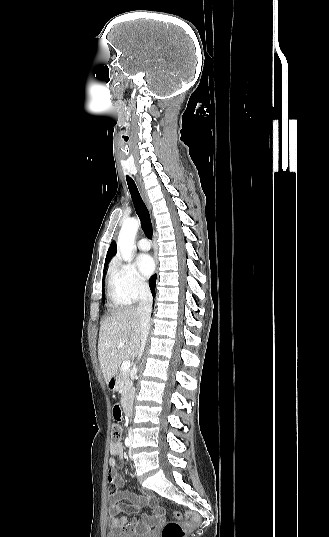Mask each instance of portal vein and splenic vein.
I'll use <instances>...</instances> for the list:
<instances>
[{
	"label": "portal vein and splenic vein",
	"instance_id": "18ae733b",
	"mask_svg": "<svg viewBox=\"0 0 329 537\" xmlns=\"http://www.w3.org/2000/svg\"><path fill=\"white\" fill-rule=\"evenodd\" d=\"M124 345H125V343H124V342H121V343L117 346V348H121V347H123ZM129 368H130V361H129V360H125V361H123L122 366H121V369L124 370V371H127V370H129Z\"/></svg>",
	"mask_w": 329,
	"mask_h": 537
}]
</instances>
